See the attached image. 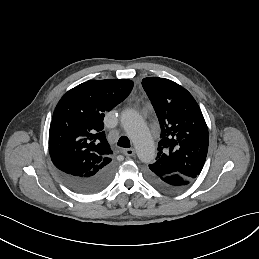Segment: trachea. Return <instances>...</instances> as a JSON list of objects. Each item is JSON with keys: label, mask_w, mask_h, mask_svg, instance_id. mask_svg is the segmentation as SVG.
<instances>
[{"label": "trachea", "mask_w": 259, "mask_h": 259, "mask_svg": "<svg viewBox=\"0 0 259 259\" xmlns=\"http://www.w3.org/2000/svg\"><path fill=\"white\" fill-rule=\"evenodd\" d=\"M117 144L118 146L124 147V148H129L131 145L129 139L126 136L120 137Z\"/></svg>", "instance_id": "obj_1"}]
</instances>
